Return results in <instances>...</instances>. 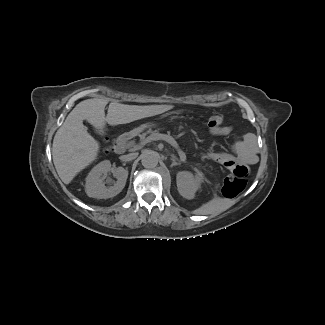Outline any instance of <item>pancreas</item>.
<instances>
[{
	"instance_id": "cf45deb5",
	"label": "pancreas",
	"mask_w": 325,
	"mask_h": 325,
	"mask_svg": "<svg viewBox=\"0 0 325 325\" xmlns=\"http://www.w3.org/2000/svg\"><path fill=\"white\" fill-rule=\"evenodd\" d=\"M166 131H167L166 129H164V130L162 129V130L160 131V129H159L158 127H156L155 129H154V128H153V129L150 128V129H148L147 131H144V132H143V135H138V136H137V139H138V140H141L143 136H147L148 134H149V135H150V134H156V133L159 134L160 132L163 133V132H166ZM130 145L132 146L133 143H131Z\"/></svg>"
}]
</instances>
